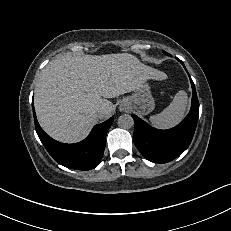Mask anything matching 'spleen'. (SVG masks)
<instances>
[{"label": "spleen", "mask_w": 231, "mask_h": 231, "mask_svg": "<svg viewBox=\"0 0 231 231\" xmlns=\"http://www.w3.org/2000/svg\"><path fill=\"white\" fill-rule=\"evenodd\" d=\"M187 107V94L179 91L173 101L161 113L149 118L151 124L159 129H168L177 125L184 117Z\"/></svg>", "instance_id": "3e777b00"}]
</instances>
